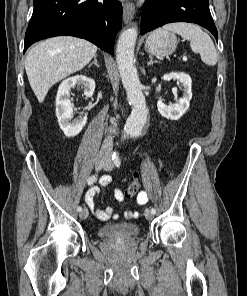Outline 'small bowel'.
<instances>
[{"label": "small bowel", "mask_w": 247, "mask_h": 296, "mask_svg": "<svg viewBox=\"0 0 247 296\" xmlns=\"http://www.w3.org/2000/svg\"><path fill=\"white\" fill-rule=\"evenodd\" d=\"M112 181L111 176L106 175L103 176L100 180L101 186H108ZM100 188L95 186L90 188L86 194H85V203L88 206V208L91 210V212L101 221H108L111 218H115L116 214L114 213L113 209L111 207H106L105 209H99L96 206V198L99 195ZM114 198L122 202L125 198L124 192L121 189H115L114 190ZM148 201V195L146 192H140L136 197V203L138 205H143ZM138 214L136 212L132 211H126L125 217L127 219H133L137 217Z\"/></svg>", "instance_id": "small-bowel-1"}]
</instances>
